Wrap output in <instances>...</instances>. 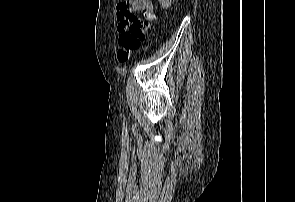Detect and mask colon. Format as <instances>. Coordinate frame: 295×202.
<instances>
[{
  "instance_id": "colon-1",
  "label": "colon",
  "mask_w": 295,
  "mask_h": 202,
  "mask_svg": "<svg viewBox=\"0 0 295 202\" xmlns=\"http://www.w3.org/2000/svg\"><path fill=\"white\" fill-rule=\"evenodd\" d=\"M157 18V11L153 9L147 16V19L141 23H130L127 28L120 33V50L117 59L120 63L128 61L130 53L140 47L145 37V32L152 28L153 21Z\"/></svg>"
}]
</instances>
